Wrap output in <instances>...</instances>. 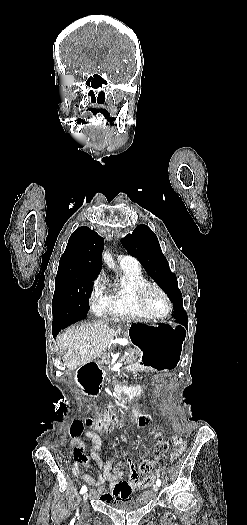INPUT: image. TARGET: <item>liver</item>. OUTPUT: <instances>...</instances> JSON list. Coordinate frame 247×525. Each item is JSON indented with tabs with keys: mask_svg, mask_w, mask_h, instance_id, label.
Wrapping results in <instances>:
<instances>
[{
	"mask_svg": "<svg viewBox=\"0 0 247 525\" xmlns=\"http://www.w3.org/2000/svg\"><path fill=\"white\" fill-rule=\"evenodd\" d=\"M114 327V323L104 319L69 327L65 333L58 335L57 345L63 349L62 353H65L63 363L68 371H76L100 357L117 333Z\"/></svg>",
	"mask_w": 247,
	"mask_h": 525,
	"instance_id": "1",
	"label": "liver"
}]
</instances>
